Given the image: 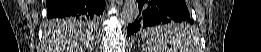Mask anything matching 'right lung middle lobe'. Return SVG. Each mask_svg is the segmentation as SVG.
I'll use <instances>...</instances> for the list:
<instances>
[{
    "mask_svg": "<svg viewBox=\"0 0 261 52\" xmlns=\"http://www.w3.org/2000/svg\"><path fill=\"white\" fill-rule=\"evenodd\" d=\"M53 23H59V24H84L86 23L91 29L95 28L98 24L97 19H89L84 16H68V17H58L53 20H51Z\"/></svg>",
    "mask_w": 261,
    "mask_h": 52,
    "instance_id": "dd1d6c3e",
    "label": "right lung middle lobe"
}]
</instances>
